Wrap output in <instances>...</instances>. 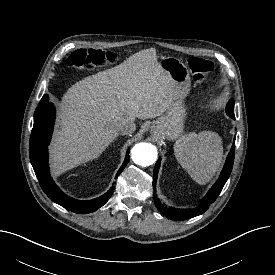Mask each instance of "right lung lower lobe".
<instances>
[{"label": "right lung lower lobe", "mask_w": 275, "mask_h": 275, "mask_svg": "<svg viewBox=\"0 0 275 275\" xmlns=\"http://www.w3.org/2000/svg\"><path fill=\"white\" fill-rule=\"evenodd\" d=\"M55 120V109L53 104L48 101L45 94L34 113V125L30 136L29 154L30 161L38 178L40 186L45 194L55 203L62 207L79 214L94 212L103 206L111 197L114 186H112L102 196L85 201H74L68 198L54 183L48 167V149ZM129 161V150L125 160L118 170L116 177L123 171Z\"/></svg>", "instance_id": "right-lung-lower-lobe-1"}]
</instances>
